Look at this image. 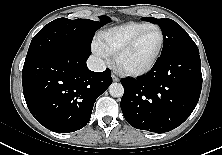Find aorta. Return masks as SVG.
<instances>
[{"label":"aorta","instance_id":"762f6f07","mask_svg":"<svg viewBox=\"0 0 222 155\" xmlns=\"http://www.w3.org/2000/svg\"><path fill=\"white\" fill-rule=\"evenodd\" d=\"M109 93L112 97H122L124 94V87L120 83H112L109 86Z\"/></svg>","mask_w":222,"mask_h":155}]
</instances>
